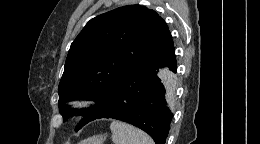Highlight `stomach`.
<instances>
[{
    "mask_svg": "<svg viewBox=\"0 0 260 144\" xmlns=\"http://www.w3.org/2000/svg\"><path fill=\"white\" fill-rule=\"evenodd\" d=\"M106 139L105 134L94 135L87 139L82 140L79 144H103Z\"/></svg>",
    "mask_w": 260,
    "mask_h": 144,
    "instance_id": "stomach-1",
    "label": "stomach"
}]
</instances>
